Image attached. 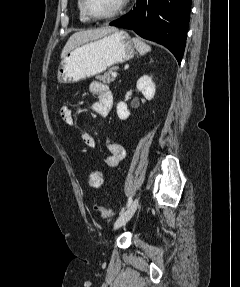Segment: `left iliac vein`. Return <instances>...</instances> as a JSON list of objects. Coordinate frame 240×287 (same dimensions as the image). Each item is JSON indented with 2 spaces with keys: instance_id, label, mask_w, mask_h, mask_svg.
Instances as JSON below:
<instances>
[{
  "instance_id": "left-iliac-vein-1",
  "label": "left iliac vein",
  "mask_w": 240,
  "mask_h": 287,
  "mask_svg": "<svg viewBox=\"0 0 240 287\" xmlns=\"http://www.w3.org/2000/svg\"><path fill=\"white\" fill-rule=\"evenodd\" d=\"M139 204V199L135 198V200L131 203V205L119 216V218L114 223V229H118L121 226L125 225L134 215Z\"/></svg>"
}]
</instances>
